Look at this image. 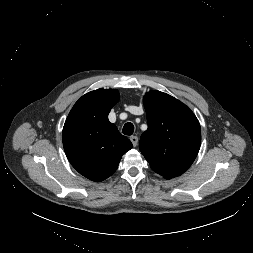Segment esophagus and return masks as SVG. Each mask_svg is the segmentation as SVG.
<instances>
[{
	"label": "esophagus",
	"mask_w": 253,
	"mask_h": 253,
	"mask_svg": "<svg viewBox=\"0 0 253 253\" xmlns=\"http://www.w3.org/2000/svg\"><path fill=\"white\" fill-rule=\"evenodd\" d=\"M130 140H131L133 146L136 147L137 144H138V137L137 136H131Z\"/></svg>",
	"instance_id": "esophagus-1"
}]
</instances>
